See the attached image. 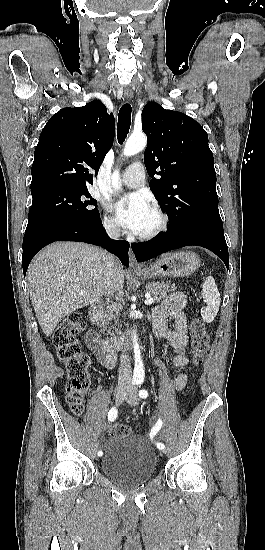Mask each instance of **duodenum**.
Returning a JSON list of instances; mask_svg holds the SVG:
<instances>
[{"label": "duodenum", "instance_id": "obj_1", "mask_svg": "<svg viewBox=\"0 0 265 550\" xmlns=\"http://www.w3.org/2000/svg\"><path fill=\"white\" fill-rule=\"evenodd\" d=\"M102 308V301L97 300L92 303L88 308L89 322L93 328H99V316ZM103 347L110 348L112 350L122 351L133 344V334L128 333L126 335H120L112 338H103L99 340Z\"/></svg>", "mask_w": 265, "mask_h": 550}]
</instances>
